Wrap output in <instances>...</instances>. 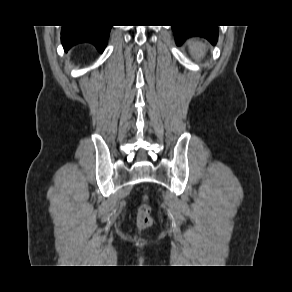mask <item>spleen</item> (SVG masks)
Masks as SVG:
<instances>
[{
  "instance_id": "obj_1",
  "label": "spleen",
  "mask_w": 292,
  "mask_h": 292,
  "mask_svg": "<svg viewBox=\"0 0 292 292\" xmlns=\"http://www.w3.org/2000/svg\"><path fill=\"white\" fill-rule=\"evenodd\" d=\"M190 49L191 53L196 57V58H201L204 55L206 46L203 45L202 43L198 41H193L190 44Z\"/></svg>"
}]
</instances>
